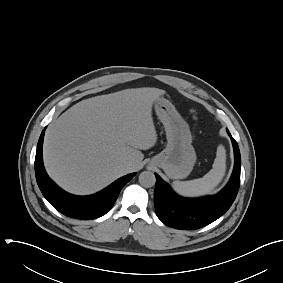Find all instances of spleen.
<instances>
[{
    "label": "spleen",
    "instance_id": "1",
    "mask_svg": "<svg viewBox=\"0 0 283 283\" xmlns=\"http://www.w3.org/2000/svg\"><path fill=\"white\" fill-rule=\"evenodd\" d=\"M226 151L219 145L212 169L202 178L190 181H175L172 187L176 193L184 197H199L212 193L225 176Z\"/></svg>",
    "mask_w": 283,
    "mask_h": 283
}]
</instances>
